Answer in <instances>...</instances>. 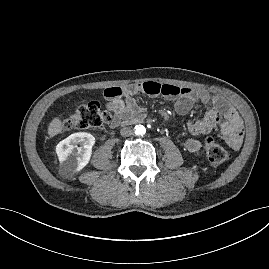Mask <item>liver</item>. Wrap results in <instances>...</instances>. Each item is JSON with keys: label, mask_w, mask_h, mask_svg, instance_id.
<instances>
[{"label": "liver", "mask_w": 269, "mask_h": 269, "mask_svg": "<svg viewBox=\"0 0 269 269\" xmlns=\"http://www.w3.org/2000/svg\"><path fill=\"white\" fill-rule=\"evenodd\" d=\"M63 129H64L63 122L58 117H55L48 125L47 129L48 135L50 138L54 137L57 134L61 133Z\"/></svg>", "instance_id": "1"}]
</instances>
